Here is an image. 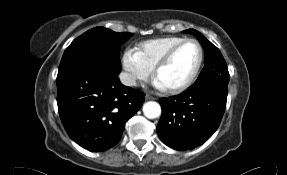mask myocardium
Returning <instances> with one entry per match:
<instances>
[{
	"label": "myocardium",
	"instance_id": "myocardium-1",
	"mask_svg": "<svg viewBox=\"0 0 287 175\" xmlns=\"http://www.w3.org/2000/svg\"><path fill=\"white\" fill-rule=\"evenodd\" d=\"M187 43H195L197 45V47L199 49V59H198L197 65H196L193 73L184 83H182L181 85L175 86V87H164L165 90L170 94L182 93V92L186 91L187 89H189L194 84V82L196 81V79H197V77L201 71L203 62H204V49H203L201 43L197 39H193V38L184 39L180 43L174 45L161 58V60L157 63V65L154 68V76H155L156 80H158L160 71L171 62V60L173 59V57L175 56L177 51Z\"/></svg>",
	"mask_w": 287,
	"mask_h": 175
}]
</instances>
